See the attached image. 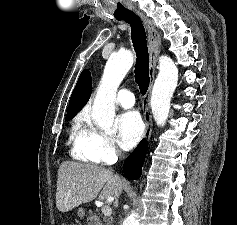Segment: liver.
<instances>
[{"label": "liver", "mask_w": 237, "mask_h": 225, "mask_svg": "<svg viewBox=\"0 0 237 225\" xmlns=\"http://www.w3.org/2000/svg\"><path fill=\"white\" fill-rule=\"evenodd\" d=\"M124 189V182L110 169L93 164L62 162L58 170L56 207L68 212L81 204L109 196L118 198Z\"/></svg>", "instance_id": "liver-1"}]
</instances>
